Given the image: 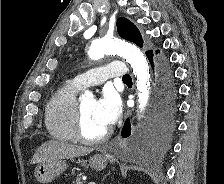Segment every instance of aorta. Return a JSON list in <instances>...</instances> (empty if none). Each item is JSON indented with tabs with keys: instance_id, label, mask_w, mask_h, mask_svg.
Wrapping results in <instances>:
<instances>
[{
	"instance_id": "aorta-1",
	"label": "aorta",
	"mask_w": 224,
	"mask_h": 184,
	"mask_svg": "<svg viewBox=\"0 0 224 184\" xmlns=\"http://www.w3.org/2000/svg\"><path fill=\"white\" fill-rule=\"evenodd\" d=\"M120 54L130 64L137 79L138 102L140 113L145 110L150 93V74L147 60L143 53L133 44L117 38H101L91 42L88 52L92 60H98L105 54ZM91 96L90 92H85Z\"/></svg>"
}]
</instances>
